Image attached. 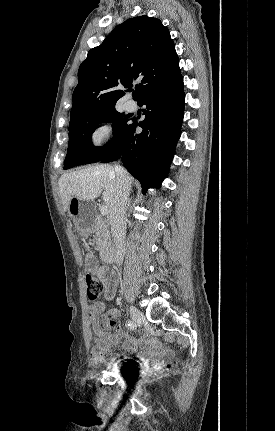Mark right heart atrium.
<instances>
[{
	"instance_id": "1",
	"label": "right heart atrium",
	"mask_w": 275,
	"mask_h": 431,
	"mask_svg": "<svg viewBox=\"0 0 275 431\" xmlns=\"http://www.w3.org/2000/svg\"><path fill=\"white\" fill-rule=\"evenodd\" d=\"M112 137V125L109 122H100L92 131L90 141L93 146L99 147L107 143Z\"/></svg>"
}]
</instances>
